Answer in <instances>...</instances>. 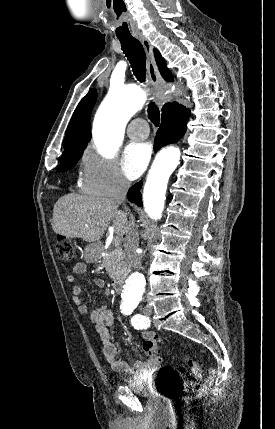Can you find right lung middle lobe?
<instances>
[{
	"instance_id": "right-lung-middle-lobe-1",
	"label": "right lung middle lobe",
	"mask_w": 275,
	"mask_h": 429,
	"mask_svg": "<svg viewBox=\"0 0 275 429\" xmlns=\"http://www.w3.org/2000/svg\"><path fill=\"white\" fill-rule=\"evenodd\" d=\"M82 153L83 152H79L76 154H70V155L62 157L60 160L61 163L59 165L58 171L65 172L67 170L72 169L76 165V163H77L78 159L81 157Z\"/></svg>"
}]
</instances>
